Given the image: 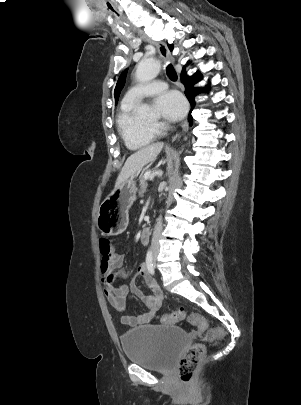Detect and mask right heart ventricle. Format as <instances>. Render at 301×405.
<instances>
[{
  "instance_id": "e07e8e85",
  "label": "right heart ventricle",
  "mask_w": 301,
  "mask_h": 405,
  "mask_svg": "<svg viewBox=\"0 0 301 405\" xmlns=\"http://www.w3.org/2000/svg\"><path fill=\"white\" fill-rule=\"evenodd\" d=\"M135 106L136 103L123 101L116 118L118 132L130 150H138L147 146L155 137L154 130L136 117Z\"/></svg>"
}]
</instances>
